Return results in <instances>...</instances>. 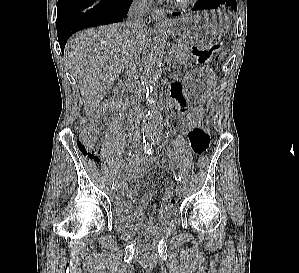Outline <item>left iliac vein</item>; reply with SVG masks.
Here are the masks:
<instances>
[{
    "label": "left iliac vein",
    "mask_w": 299,
    "mask_h": 273,
    "mask_svg": "<svg viewBox=\"0 0 299 273\" xmlns=\"http://www.w3.org/2000/svg\"><path fill=\"white\" fill-rule=\"evenodd\" d=\"M176 193L178 196H181L183 194V188L181 185H178L176 188Z\"/></svg>",
    "instance_id": "left-iliac-vein-1"
}]
</instances>
